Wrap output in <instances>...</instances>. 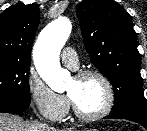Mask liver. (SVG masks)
I'll return each instance as SVG.
<instances>
[{
  "label": "liver",
  "instance_id": "obj_1",
  "mask_svg": "<svg viewBox=\"0 0 147 131\" xmlns=\"http://www.w3.org/2000/svg\"><path fill=\"white\" fill-rule=\"evenodd\" d=\"M0 131H61L39 122L24 121L18 115L0 113ZM67 131V130H62Z\"/></svg>",
  "mask_w": 147,
  "mask_h": 131
}]
</instances>
